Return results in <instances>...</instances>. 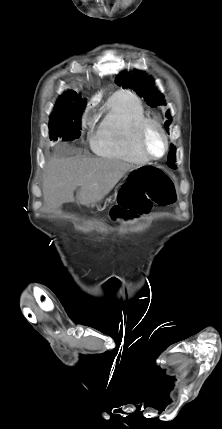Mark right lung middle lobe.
Wrapping results in <instances>:
<instances>
[{
  "mask_svg": "<svg viewBox=\"0 0 222 429\" xmlns=\"http://www.w3.org/2000/svg\"><path fill=\"white\" fill-rule=\"evenodd\" d=\"M86 100L72 91L59 97L50 116L49 133L53 141L74 140L80 135L81 114Z\"/></svg>",
  "mask_w": 222,
  "mask_h": 429,
  "instance_id": "dd1d6c3e",
  "label": "right lung middle lobe"
}]
</instances>
